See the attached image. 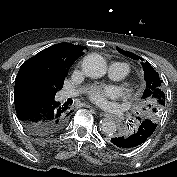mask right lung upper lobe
<instances>
[{
	"label": "right lung upper lobe",
	"instance_id": "right-lung-upper-lobe-1",
	"mask_svg": "<svg viewBox=\"0 0 177 177\" xmlns=\"http://www.w3.org/2000/svg\"><path fill=\"white\" fill-rule=\"evenodd\" d=\"M85 47L71 43L50 46L22 64L15 88L36 85L59 90L75 60L84 54Z\"/></svg>",
	"mask_w": 177,
	"mask_h": 177
}]
</instances>
